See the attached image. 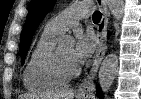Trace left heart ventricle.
<instances>
[{
  "mask_svg": "<svg viewBox=\"0 0 141 99\" xmlns=\"http://www.w3.org/2000/svg\"><path fill=\"white\" fill-rule=\"evenodd\" d=\"M71 51L72 49L68 46H61L58 48L60 62L63 68L68 71L74 70L76 68L72 63Z\"/></svg>",
  "mask_w": 141,
  "mask_h": 99,
  "instance_id": "1",
  "label": "left heart ventricle"
}]
</instances>
